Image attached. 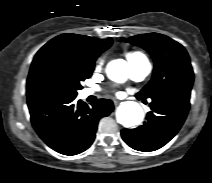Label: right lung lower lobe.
<instances>
[{
	"label": "right lung lower lobe",
	"instance_id": "right-lung-lower-lobe-1",
	"mask_svg": "<svg viewBox=\"0 0 212 183\" xmlns=\"http://www.w3.org/2000/svg\"><path fill=\"white\" fill-rule=\"evenodd\" d=\"M75 97L59 94L28 98L31 122L40 138L53 150L76 155L90 147L102 117L113 111L109 99H99L92 107Z\"/></svg>",
	"mask_w": 212,
	"mask_h": 183
}]
</instances>
